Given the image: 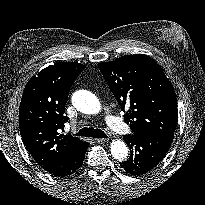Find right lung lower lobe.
<instances>
[{
    "label": "right lung lower lobe",
    "instance_id": "obj_1",
    "mask_svg": "<svg viewBox=\"0 0 205 205\" xmlns=\"http://www.w3.org/2000/svg\"><path fill=\"white\" fill-rule=\"evenodd\" d=\"M88 143H85L81 149L70 155L60 166L49 170L48 172L57 177H64L74 174L82 165Z\"/></svg>",
    "mask_w": 205,
    "mask_h": 205
}]
</instances>
